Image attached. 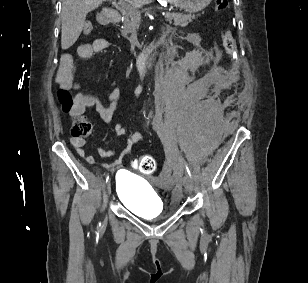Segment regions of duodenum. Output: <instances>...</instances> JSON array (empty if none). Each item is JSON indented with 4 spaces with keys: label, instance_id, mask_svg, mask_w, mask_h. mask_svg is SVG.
I'll return each mask as SVG.
<instances>
[{
    "label": "duodenum",
    "instance_id": "obj_1",
    "mask_svg": "<svg viewBox=\"0 0 308 283\" xmlns=\"http://www.w3.org/2000/svg\"><path fill=\"white\" fill-rule=\"evenodd\" d=\"M122 18L121 13L118 10H109L103 14L101 17V22L103 24H108V23H116L119 22ZM147 50L142 52L138 57H137V68L139 70L143 69L145 65V61L147 58Z\"/></svg>",
    "mask_w": 308,
    "mask_h": 283
}]
</instances>
